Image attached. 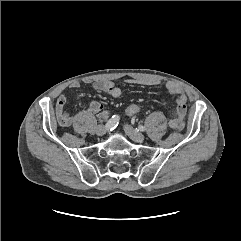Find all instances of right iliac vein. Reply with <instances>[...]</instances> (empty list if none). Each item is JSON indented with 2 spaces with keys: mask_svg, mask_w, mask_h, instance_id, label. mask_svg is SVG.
Here are the masks:
<instances>
[{
  "mask_svg": "<svg viewBox=\"0 0 241 241\" xmlns=\"http://www.w3.org/2000/svg\"><path fill=\"white\" fill-rule=\"evenodd\" d=\"M106 131H107V128H106V126H104V125H99V126L96 128V134H97L98 136L104 135V134L106 133Z\"/></svg>",
  "mask_w": 241,
  "mask_h": 241,
  "instance_id": "1",
  "label": "right iliac vein"
}]
</instances>
